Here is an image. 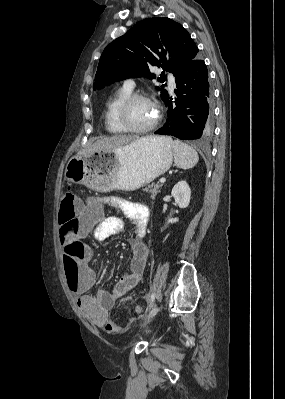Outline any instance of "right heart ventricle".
I'll return each instance as SVG.
<instances>
[{
	"label": "right heart ventricle",
	"mask_w": 285,
	"mask_h": 399,
	"mask_svg": "<svg viewBox=\"0 0 285 399\" xmlns=\"http://www.w3.org/2000/svg\"><path fill=\"white\" fill-rule=\"evenodd\" d=\"M129 95H131V91L122 87L110 97L106 104L105 127L112 134L120 135L128 132L119 122L118 111L123 101Z\"/></svg>",
	"instance_id": "right-heart-ventricle-1"
}]
</instances>
